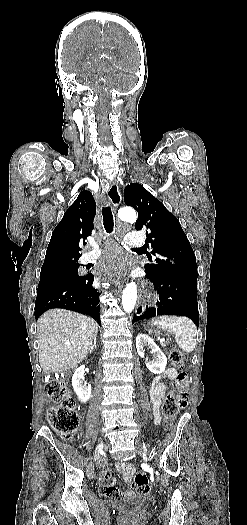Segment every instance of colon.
<instances>
[{"mask_svg": "<svg viewBox=\"0 0 247 525\" xmlns=\"http://www.w3.org/2000/svg\"><path fill=\"white\" fill-rule=\"evenodd\" d=\"M170 360L172 366L176 369H181L184 365L182 353L175 345H172ZM175 386L176 390L166 395L163 404V416L169 422L173 421L177 413L187 405L188 374L180 372L175 379ZM46 395L55 402H62L61 405H52L47 409L46 418L48 423L65 439L73 437L79 425V414L68 387L65 383L52 381L46 386ZM134 481L140 494L146 496L151 494L152 486L145 473L137 472Z\"/></svg>", "mask_w": 247, "mask_h": 525, "instance_id": "5ec220e1", "label": "colon"}]
</instances>
